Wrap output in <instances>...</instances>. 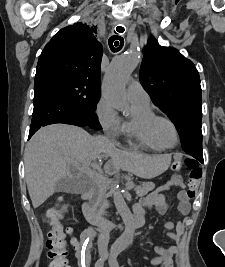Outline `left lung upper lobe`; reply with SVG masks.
<instances>
[{
	"instance_id": "5c2ea615",
	"label": "left lung upper lobe",
	"mask_w": 225,
	"mask_h": 267,
	"mask_svg": "<svg viewBox=\"0 0 225 267\" xmlns=\"http://www.w3.org/2000/svg\"><path fill=\"white\" fill-rule=\"evenodd\" d=\"M140 81L152 102L174 123L183 150L202 154V96L198 71L178 50L153 38L143 49Z\"/></svg>"
}]
</instances>
